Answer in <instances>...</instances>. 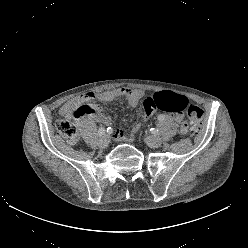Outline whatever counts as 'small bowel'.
<instances>
[{
    "instance_id": "c3829d8e",
    "label": "small bowel",
    "mask_w": 248,
    "mask_h": 248,
    "mask_svg": "<svg viewBox=\"0 0 248 248\" xmlns=\"http://www.w3.org/2000/svg\"><path fill=\"white\" fill-rule=\"evenodd\" d=\"M145 92L141 89L129 88V87H121L113 90L103 91L100 93L87 92L83 93L79 96L74 97L73 99L66 102L60 108V114L64 117L71 118L73 117V112L81 106H84V103L90 102L93 100H98L101 102H109L114 99L123 97L127 100L129 105L137 106L141 99L144 97ZM87 106V105H86ZM89 108V112L84 116H88L90 118L95 119L98 122H101L105 125H109L111 119L109 116L105 115L98 107L96 106H87ZM83 117V116H82ZM173 119L176 122H181L177 126V132L180 135H185L190 131V126L186 122L183 121L182 113H174L172 115ZM74 118V117H73ZM81 118V117H80ZM79 119V118H77ZM138 129V125L135 127V131ZM115 138L118 141H127L131 139H127L121 130H117L115 132Z\"/></svg>"
}]
</instances>
